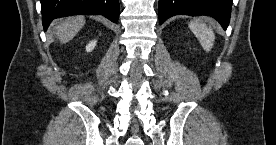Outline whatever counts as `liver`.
<instances>
[{"mask_svg": "<svg viewBox=\"0 0 276 145\" xmlns=\"http://www.w3.org/2000/svg\"><path fill=\"white\" fill-rule=\"evenodd\" d=\"M85 19L83 16L68 17L56 27V35L61 44L72 40L83 28Z\"/></svg>", "mask_w": 276, "mask_h": 145, "instance_id": "liver-1", "label": "liver"}]
</instances>
